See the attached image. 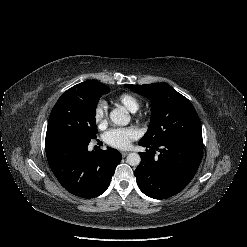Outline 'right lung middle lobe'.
I'll list each match as a JSON object with an SVG mask.
<instances>
[{"label": "right lung middle lobe", "instance_id": "1", "mask_svg": "<svg viewBox=\"0 0 247 247\" xmlns=\"http://www.w3.org/2000/svg\"><path fill=\"white\" fill-rule=\"evenodd\" d=\"M108 91L109 88L100 83L90 89L72 87L64 92L51 111L46 141L72 138L90 142L96 138V106L101 95Z\"/></svg>", "mask_w": 247, "mask_h": 247}]
</instances>
